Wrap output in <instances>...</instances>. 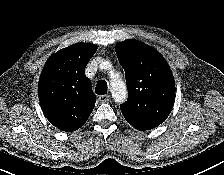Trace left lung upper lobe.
<instances>
[{"label":"left lung upper lobe","instance_id":"5c2ea615","mask_svg":"<svg viewBox=\"0 0 224 175\" xmlns=\"http://www.w3.org/2000/svg\"><path fill=\"white\" fill-rule=\"evenodd\" d=\"M125 71L128 100L120 105L126 121L138 130L157 127L175 101V81L168 63L154 48L136 40L116 46Z\"/></svg>","mask_w":224,"mask_h":175}]
</instances>
